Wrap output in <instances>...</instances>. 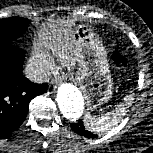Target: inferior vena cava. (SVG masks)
<instances>
[{
  "mask_svg": "<svg viewBox=\"0 0 153 153\" xmlns=\"http://www.w3.org/2000/svg\"><path fill=\"white\" fill-rule=\"evenodd\" d=\"M26 77L35 83H44L49 81V73L38 66L28 64L25 68Z\"/></svg>",
  "mask_w": 153,
  "mask_h": 153,
  "instance_id": "inferior-vena-cava-1",
  "label": "inferior vena cava"
}]
</instances>
